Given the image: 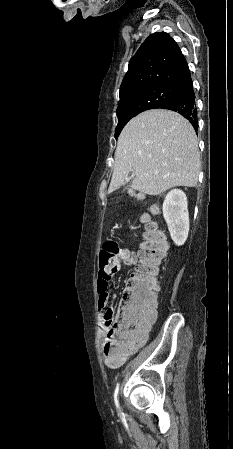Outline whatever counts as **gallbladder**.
Returning <instances> with one entry per match:
<instances>
[{
	"label": "gallbladder",
	"instance_id": "bac80fb5",
	"mask_svg": "<svg viewBox=\"0 0 233 449\" xmlns=\"http://www.w3.org/2000/svg\"><path fill=\"white\" fill-rule=\"evenodd\" d=\"M130 179H131V177H127V178H126V182H128Z\"/></svg>",
	"mask_w": 233,
	"mask_h": 449
}]
</instances>
